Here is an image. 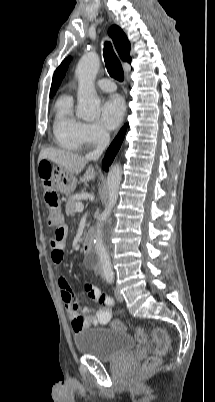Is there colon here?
Here are the masks:
<instances>
[{
    "instance_id": "5ec220e1",
    "label": "colon",
    "mask_w": 215,
    "mask_h": 402,
    "mask_svg": "<svg viewBox=\"0 0 215 402\" xmlns=\"http://www.w3.org/2000/svg\"><path fill=\"white\" fill-rule=\"evenodd\" d=\"M51 168V160H40L38 167V177L42 180L43 198L48 213V224L49 226L57 227L58 229L61 224L60 203L58 194L53 189L52 183L50 181ZM113 327L121 328L122 324L118 320H115L113 322ZM135 336L137 340L141 343H145L148 341V334L141 327L136 328ZM151 341L155 346V354L146 359L142 369L143 373H147L153 370L159 363V357L164 355L168 351L170 346L169 336L167 332L162 328H154L151 331Z\"/></svg>"
}]
</instances>
